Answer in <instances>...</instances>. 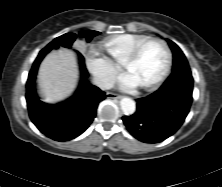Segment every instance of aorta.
<instances>
[{
	"label": "aorta",
	"mask_w": 222,
	"mask_h": 187,
	"mask_svg": "<svg viewBox=\"0 0 222 187\" xmlns=\"http://www.w3.org/2000/svg\"><path fill=\"white\" fill-rule=\"evenodd\" d=\"M120 107L124 114L132 115L135 112L136 104L131 98H122L120 101Z\"/></svg>",
	"instance_id": "obj_1"
}]
</instances>
